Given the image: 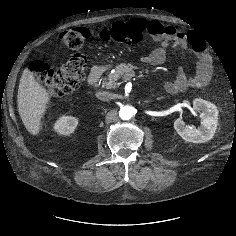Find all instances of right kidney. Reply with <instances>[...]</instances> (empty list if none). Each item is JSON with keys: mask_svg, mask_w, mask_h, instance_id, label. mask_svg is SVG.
<instances>
[{"mask_svg": "<svg viewBox=\"0 0 236 236\" xmlns=\"http://www.w3.org/2000/svg\"><path fill=\"white\" fill-rule=\"evenodd\" d=\"M78 125V119L73 116H61L54 124V130L62 135H70Z\"/></svg>", "mask_w": 236, "mask_h": 236, "instance_id": "obj_1", "label": "right kidney"}]
</instances>
